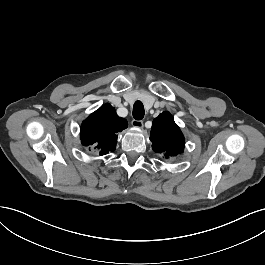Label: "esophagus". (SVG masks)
Masks as SVG:
<instances>
[{
    "label": "esophagus",
    "instance_id": "obj_1",
    "mask_svg": "<svg viewBox=\"0 0 265 265\" xmlns=\"http://www.w3.org/2000/svg\"><path fill=\"white\" fill-rule=\"evenodd\" d=\"M132 126L134 128L142 129L143 128V121L141 120H132Z\"/></svg>",
    "mask_w": 265,
    "mask_h": 265
}]
</instances>
